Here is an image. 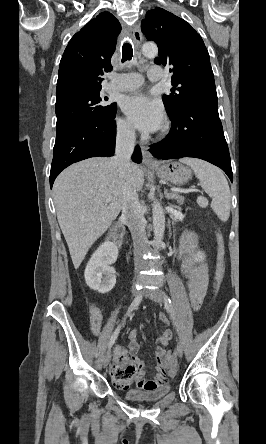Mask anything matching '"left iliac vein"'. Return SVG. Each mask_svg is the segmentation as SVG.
Instances as JSON below:
<instances>
[{"label": "left iliac vein", "mask_w": 266, "mask_h": 444, "mask_svg": "<svg viewBox=\"0 0 266 444\" xmlns=\"http://www.w3.org/2000/svg\"><path fill=\"white\" fill-rule=\"evenodd\" d=\"M145 293L153 301H155V302H157L159 304H163L164 303V295H163V292L160 289L153 288V289H150V290H146ZM175 353H176V355L179 358L182 357V355H183V344H182L181 341H178Z\"/></svg>", "instance_id": "left-iliac-vein-1"}]
</instances>
